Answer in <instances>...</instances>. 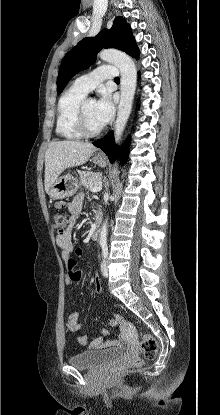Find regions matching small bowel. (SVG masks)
<instances>
[{
	"mask_svg": "<svg viewBox=\"0 0 220 415\" xmlns=\"http://www.w3.org/2000/svg\"><path fill=\"white\" fill-rule=\"evenodd\" d=\"M83 208V195H77L73 201L68 206V211L70 213L69 223L67 228L64 232L60 233L56 237L57 245L62 249V252L65 256H67L73 249L72 245V230L73 227L78 220L79 215L82 212ZM69 282L73 285L76 283L69 280ZM94 286L98 292L102 291V283L98 278L93 279ZM67 328L71 332H77L81 325L78 322V315L76 313H72L69 315L67 320ZM108 330L101 329L99 337L95 340L89 342L86 335H78L77 341L79 344L86 346L90 350H97V349H106L114 346H118L121 344L120 340H109L108 337Z\"/></svg>",
	"mask_w": 220,
	"mask_h": 415,
	"instance_id": "obj_1",
	"label": "small bowel"
}]
</instances>
